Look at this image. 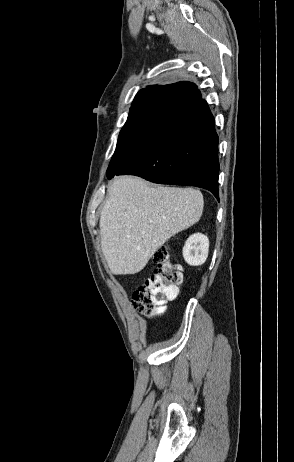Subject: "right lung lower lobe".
I'll return each mask as SVG.
<instances>
[{
  "instance_id": "right-lung-lower-lobe-1",
  "label": "right lung lower lobe",
  "mask_w": 294,
  "mask_h": 462,
  "mask_svg": "<svg viewBox=\"0 0 294 462\" xmlns=\"http://www.w3.org/2000/svg\"><path fill=\"white\" fill-rule=\"evenodd\" d=\"M170 126L115 174L137 175L159 184L197 186L219 200L218 136L205 100L194 91Z\"/></svg>"
}]
</instances>
